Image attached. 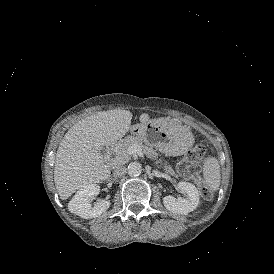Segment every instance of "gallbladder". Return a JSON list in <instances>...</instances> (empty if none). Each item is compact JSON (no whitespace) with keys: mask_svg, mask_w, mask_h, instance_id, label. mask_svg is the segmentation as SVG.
I'll return each mask as SVG.
<instances>
[{"mask_svg":"<svg viewBox=\"0 0 274 274\" xmlns=\"http://www.w3.org/2000/svg\"><path fill=\"white\" fill-rule=\"evenodd\" d=\"M100 152H101L102 155H105V149H103V148L100 149Z\"/></svg>","mask_w":274,"mask_h":274,"instance_id":"gallbladder-1","label":"gallbladder"}]
</instances>
